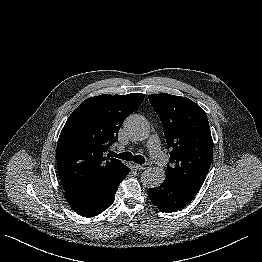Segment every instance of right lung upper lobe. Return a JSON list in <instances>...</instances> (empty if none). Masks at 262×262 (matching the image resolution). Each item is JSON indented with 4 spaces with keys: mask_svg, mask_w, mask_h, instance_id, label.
Returning a JSON list of instances; mask_svg holds the SVG:
<instances>
[{
    "mask_svg": "<svg viewBox=\"0 0 262 262\" xmlns=\"http://www.w3.org/2000/svg\"><path fill=\"white\" fill-rule=\"evenodd\" d=\"M144 94H103L86 99L65 123L56 150L57 169L65 191L76 192L120 181L128 167L105 156L118 140L124 119L143 102Z\"/></svg>",
    "mask_w": 262,
    "mask_h": 262,
    "instance_id": "1",
    "label": "right lung upper lobe"
}]
</instances>
